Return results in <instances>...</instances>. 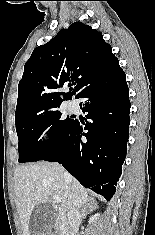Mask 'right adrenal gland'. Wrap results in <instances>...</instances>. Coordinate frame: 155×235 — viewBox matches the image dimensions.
I'll list each match as a JSON object with an SVG mask.
<instances>
[{
	"instance_id": "1",
	"label": "right adrenal gland",
	"mask_w": 155,
	"mask_h": 235,
	"mask_svg": "<svg viewBox=\"0 0 155 235\" xmlns=\"http://www.w3.org/2000/svg\"><path fill=\"white\" fill-rule=\"evenodd\" d=\"M97 208V202L95 201H90L88 202L85 206L82 208V219L86 217V214L89 212H92Z\"/></svg>"
}]
</instances>
